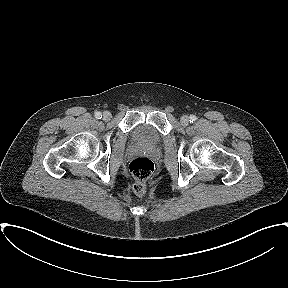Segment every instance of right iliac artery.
Segmentation results:
<instances>
[{
    "label": "right iliac artery",
    "mask_w": 288,
    "mask_h": 288,
    "mask_svg": "<svg viewBox=\"0 0 288 288\" xmlns=\"http://www.w3.org/2000/svg\"><path fill=\"white\" fill-rule=\"evenodd\" d=\"M95 117H96L97 119H101V118H102L101 112H96V113H95Z\"/></svg>",
    "instance_id": "obj_1"
}]
</instances>
